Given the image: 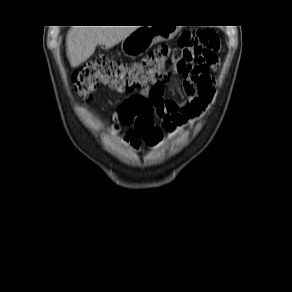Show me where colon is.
Wrapping results in <instances>:
<instances>
[{"label":"colon","mask_w":292,"mask_h":292,"mask_svg":"<svg viewBox=\"0 0 292 292\" xmlns=\"http://www.w3.org/2000/svg\"><path fill=\"white\" fill-rule=\"evenodd\" d=\"M217 45L219 37L213 30L198 29L183 32L178 47L161 46L135 62L99 56L74 73V88L85 101L91 99L99 84L118 92L143 89L141 94L123 101L116 111V119L122 124L135 125L142 132L144 142L152 146L160 141L154 121L164 83L173 75L191 72L197 63L209 58Z\"/></svg>","instance_id":"1"}]
</instances>
